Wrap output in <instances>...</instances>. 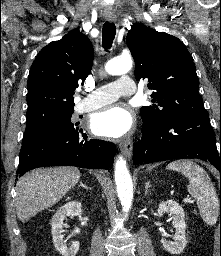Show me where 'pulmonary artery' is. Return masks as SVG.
<instances>
[{
	"instance_id": "e3ab8cb5",
	"label": "pulmonary artery",
	"mask_w": 221,
	"mask_h": 256,
	"mask_svg": "<svg viewBox=\"0 0 221 256\" xmlns=\"http://www.w3.org/2000/svg\"><path fill=\"white\" fill-rule=\"evenodd\" d=\"M135 93V85L131 78L120 77L114 82L105 84L89 93L77 106V112H87L98 109L116 101L121 96H130Z\"/></svg>"
}]
</instances>
